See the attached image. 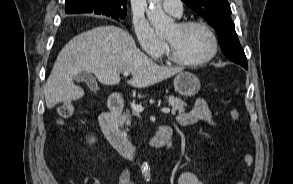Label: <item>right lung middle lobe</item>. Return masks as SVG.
Here are the masks:
<instances>
[{"instance_id":"dd1d6c3e","label":"right lung middle lobe","mask_w":293,"mask_h":184,"mask_svg":"<svg viewBox=\"0 0 293 184\" xmlns=\"http://www.w3.org/2000/svg\"><path fill=\"white\" fill-rule=\"evenodd\" d=\"M108 16L114 18L115 20L120 19V18L124 19L126 17V13H124V12H110L108 14Z\"/></svg>"}]
</instances>
